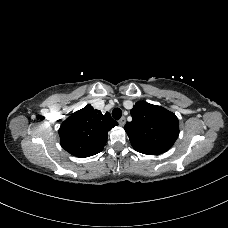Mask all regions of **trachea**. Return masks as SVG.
Listing matches in <instances>:
<instances>
[{
	"label": "trachea",
	"instance_id": "trachea-1",
	"mask_svg": "<svg viewBox=\"0 0 228 228\" xmlns=\"http://www.w3.org/2000/svg\"><path fill=\"white\" fill-rule=\"evenodd\" d=\"M112 116H113V118L114 119H120L121 118V116H122V111H121V109L120 108H115V109H113V111H112Z\"/></svg>",
	"mask_w": 228,
	"mask_h": 228
}]
</instances>
